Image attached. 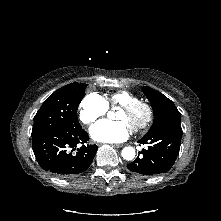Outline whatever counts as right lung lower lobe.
Wrapping results in <instances>:
<instances>
[{
    "label": "right lung lower lobe",
    "instance_id": "1",
    "mask_svg": "<svg viewBox=\"0 0 221 221\" xmlns=\"http://www.w3.org/2000/svg\"><path fill=\"white\" fill-rule=\"evenodd\" d=\"M88 139L82 128L52 129L32 138L33 151L42 169L60 177H72L84 172L97 152L96 145H86Z\"/></svg>",
    "mask_w": 221,
    "mask_h": 221
}]
</instances>
